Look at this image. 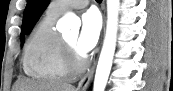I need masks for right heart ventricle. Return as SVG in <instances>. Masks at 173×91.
Here are the masks:
<instances>
[{"label":"right heart ventricle","instance_id":"1","mask_svg":"<svg viewBox=\"0 0 173 91\" xmlns=\"http://www.w3.org/2000/svg\"><path fill=\"white\" fill-rule=\"evenodd\" d=\"M58 16L47 11L24 47L23 69L26 75L33 79L60 82L70 77L64 61L63 39L54 28Z\"/></svg>","mask_w":173,"mask_h":91}]
</instances>
